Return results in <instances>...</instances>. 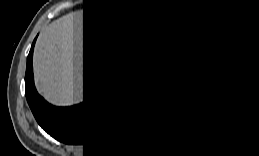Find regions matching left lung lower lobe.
Masks as SVG:
<instances>
[{"label": "left lung lower lobe", "mask_w": 259, "mask_h": 156, "mask_svg": "<svg viewBox=\"0 0 259 156\" xmlns=\"http://www.w3.org/2000/svg\"><path fill=\"white\" fill-rule=\"evenodd\" d=\"M171 65L162 73L143 79L142 105L150 128L159 137L175 141L192 132V118L202 110L214 108V101L208 90L193 88L191 77H174L168 69ZM204 123L205 119H199L195 126L200 128Z\"/></svg>", "instance_id": "left-lung-lower-lobe-1"}]
</instances>
